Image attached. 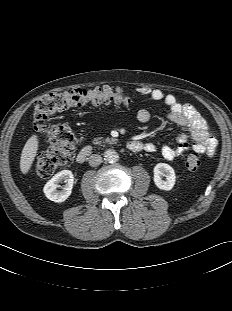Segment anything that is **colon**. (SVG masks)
Instances as JSON below:
<instances>
[{"label":"colon","mask_w":232,"mask_h":311,"mask_svg":"<svg viewBox=\"0 0 232 311\" xmlns=\"http://www.w3.org/2000/svg\"><path fill=\"white\" fill-rule=\"evenodd\" d=\"M130 101L126 90L108 86L89 90L76 88L66 92L52 93L38 99L33 109V125L49 147L35 161L34 170L37 175L48 177L57 169L67 165L75 148L76 138L71 128L63 124H48L51 115L89 102L129 104ZM199 166L198 154H189L186 159L187 169L195 171Z\"/></svg>","instance_id":"obj_1"}]
</instances>
